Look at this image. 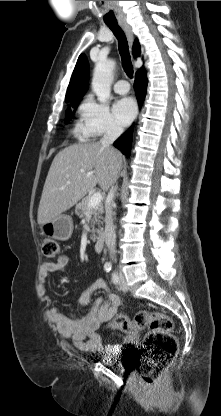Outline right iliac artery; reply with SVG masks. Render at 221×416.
I'll return each mask as SVG.
<instances>
[{"instance_id": "82829eb1", "label": "right iliac artery", "mask_w": 221, "mask_h": 416, "mask_svg": "<svg viewBox=\"0 0 221 416\" xmlns=\"http://www.w3.org/2000/svg\"><path fill=\"white\" fill-rule=\"evenodd\" d=\"M111 268H112L111 263H105V265H104V270H105L106 272H109V271L111 270Z\"/></svg>"}]
</instances>
